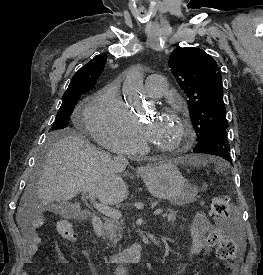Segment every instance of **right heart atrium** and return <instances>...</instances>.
<instances>
[{"instance_id":"1","label":"right heart atrium","mask_w":263,"mask_h":275,"mask_svg":"<svg viewBox=\"0 0 263 275\" xmlns=\"http://www.w3.org/2000/svg\"><path fill=\"white\" fill-rule=\"evenodd\" d=\"M84 124L103 147L118 153H132L142 145L141 128L114 87L96 93L84 113Z\"/></svg>"}]
</instances>
